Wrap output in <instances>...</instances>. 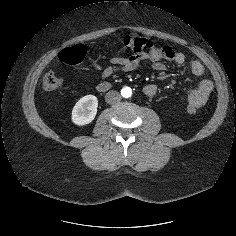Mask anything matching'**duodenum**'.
<instances>
[{
  "label": "duodenum",
  "mask_w": 236,
  "mask_h": 236,
  "mask_svg": "<svg viewBox=\"0 0 236 236\" xmlns=\"http://www.w3.org/2000/svg\"><path fill=\"white\" fill-rule=\"evenodd\" d=\"M112 84L110 82H102L98 84L97 89L101 92L108 91L111 88Z\"/></svg>",
  "instance_id": "obj_1"
}]
</instances>
